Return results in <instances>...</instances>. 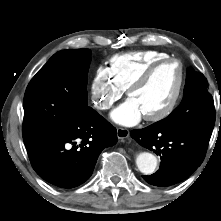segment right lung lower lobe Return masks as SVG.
Wrapping results in <instances>:
<instances>
[{"label": "right lung lower lobe", "instance_id": "obj_1", "mask_svg": "<svg viewBox=\"0 0 221 221\" xmlns=\"http://www.w3.org/2000/svg\"><path fill=\"white\" fill-rule=\"evenodd\" d=\"M23 140L36 173L61 188L87 181L101 151L118 141L116 129L91 107L67 127L27 134Z\"/></svg>", "mask_w": 221, "mask_h": 221}]
</instances>
